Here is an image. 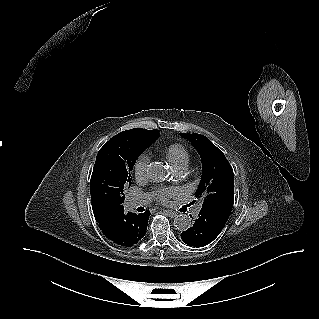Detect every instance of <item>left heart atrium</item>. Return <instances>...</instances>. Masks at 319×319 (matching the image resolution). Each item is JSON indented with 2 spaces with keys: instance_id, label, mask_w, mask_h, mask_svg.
I'll return each instance as SVG.
<instances>
[{
  "instance_id": "39dd6f15",
  "label": "left heart atrium",
  "mask_w": 319,
  "mask_h": 319,
  "mask_svg": "<svg viewBox=\"0 0 319 319\" xmlns=\"http://www.w3.org/2000/svg\"><path fill=\"white\" fill-rule=\"evenodd\" d=\"M154 194L160 202L165 203L176 194V191L172 188H162L156 190Z\"/></svg>"
}]
</instances>
